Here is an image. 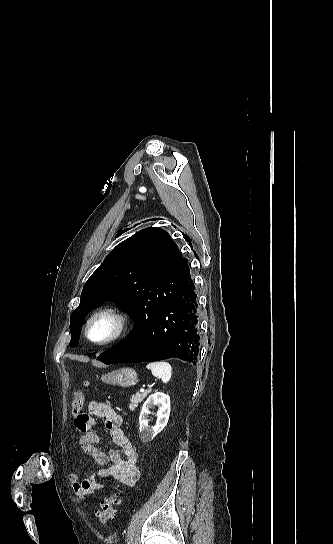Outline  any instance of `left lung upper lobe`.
Masks as SVG:
<instances>
[{
	"label": "left lung upper lobe",
	"mask_w": 333,
	"mask_h": 544,
	"mask_svg": "<svg viewBox=\"0 0 333 544\" xmlns=\"http://www.w3.org/2000/svg\"><path fill=\"white\" fill-rule=\"evenodd\" d=\"M188 260L164 230L149 227L118 244L84 285L70 321V346L77 343L86 313L116 300L134 325L152 319L186 286Z\"/></svg>",
	"instance_id": "obj_1"
}]
</instances>
